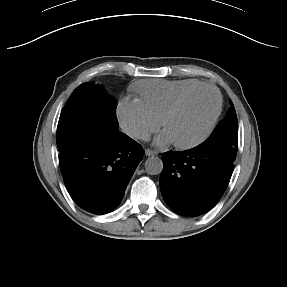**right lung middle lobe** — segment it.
<instances>
[{
    "instance_id": "dd1d6c3e",
    "label": "right lung middle lobe",
    "mask_w": 287,
    "mask_h": 287,
    "mask_svg": "<svg viewBox=\"0 0 287 287\" xmlns=\"http://www.w3.org/2000/svg\"><path fill=\"white\" fill-rule=\"evenodd\" d=\"M118 102L102 85L86 82L78 86L64 106L57 127L60 152L76 142L81 133L95 127L119 129L116 118Z\"/></svg>"
}]
</instances>
